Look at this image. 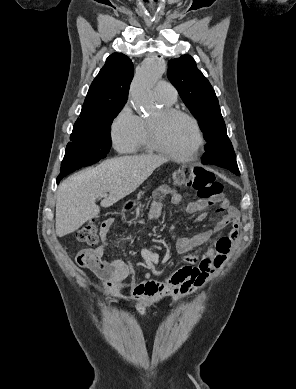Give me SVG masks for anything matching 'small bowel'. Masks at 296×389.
<instances>
[{"mask_svg":"<svg viewBox=\"0 0 296 389\" xmlns=\"http://www.w3.org/2000/svg\"><path fill=\"white\" fill-rule=\"evenodd\" d=\"M169 196L174 204L183 201V195L170 188L160 186L150 204V213L157 216L161 212V201ZM221 217L217 220L213 230L203 231L190 237H184L177 241L176 250L184 256L185 265L172 272L164 282L150 281L136 286L132 296L138 304L139 313L148 315L150 303L158 298L169 297L179 300L192 291L202 287L213 272L219 269L233 247L239 242V212L229 204L226 199L219 201ZM209 202L201 199L188 203V213L202 212ZM231 225L230 231L223 236L212 238L214 232H219ZM113 226V220H107L102 224L101 234L103 244L95 249H85L78 254L77 262L81 267L88 268L100 279L106 294L110 297L117 296L118 283L132 274L128 263L120 259L105 257L106 250L110 247L111 240L108 233ZM209 242V248L199 256L198 248Z\"/></svg>","mask_w":296,"mask_h":389,"instance_id":"small-bowel-1","label":"small bowel"}]
</instances>
